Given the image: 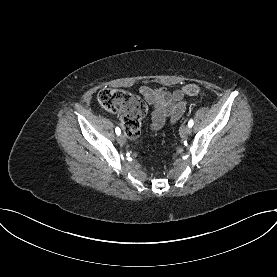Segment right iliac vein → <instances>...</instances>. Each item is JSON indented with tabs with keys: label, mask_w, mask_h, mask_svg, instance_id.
<instances>
[{
	"label": "right iliac vein",
	"mask_w": 277,
	"mask_h": 277,
	"mask_svg": "<svg viewBox=\"0 0 277 277\" xmlns=\"http://www.w3.org/2000/svg\"><path fill=\"white\" fill-rule=\"evenodd\" d=\"M117 141L118 143L120 144H125L126 143V137L124 134H120L118 137H117Z\"/></svg>",
	"instance_id": "obj_1"
}]
</instances>
